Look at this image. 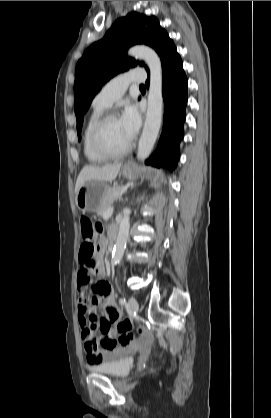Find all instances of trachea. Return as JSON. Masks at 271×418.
Wrapping results in <instances>:
<instances>
[{
	"mask_svg": "<svg viewBox=\"0 0 271 418\" xmlns=\"http://www.w3.org/2000/svg\"><path fill=\"white\" fill-rule=\"evenodd\" d=\"M140 88H145V86L144 85H140Z\"/></svg>",
	"mask_w": 271,
	"mask_h": 418,
	"instance_id": "3493384b",
	"label": "trachea"
}]
</instances>
